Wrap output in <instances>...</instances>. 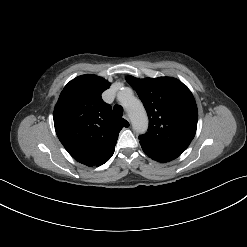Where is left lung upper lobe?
<instances>
[{
  "label": "left lung upper lobe",
  "instance_id": "5c2ea615",
  "mask_svg": "<svg viewBox=\"0 0 247 247\" xmlns=\"http://www.w3.org/2000/svg\"><path fill=\"white\" fill-rule=\"evenodd\" d=\"M149 117V129L139 139L164 150L183 152L197 128L198 112L190 90L171 77H126Z\"/></svg>",
  "mask_w": 247,
  "mask_h": 247
}]
</instances>
